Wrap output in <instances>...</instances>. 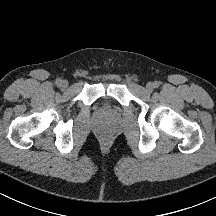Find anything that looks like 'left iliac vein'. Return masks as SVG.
Segmentation results:
<instances>
[{
  "instance_id": "4c4485c4",
  "label": "left iliac vein",
  "mask_w": 216,
  "mask_h": 216,
  "mask_svg": "<svg viewBox=\"0 0 216 216\" xmlns=\"http://www.w3.org/2000/svg\"><path fill=\"white\" fill-rule=\"evenodd\" d=\"M153 89H154V85H153L152 83H147V85H146V90H147L148 92H152Z\"/></svg>"
}]
</instances>
